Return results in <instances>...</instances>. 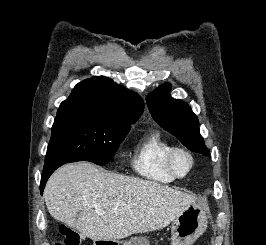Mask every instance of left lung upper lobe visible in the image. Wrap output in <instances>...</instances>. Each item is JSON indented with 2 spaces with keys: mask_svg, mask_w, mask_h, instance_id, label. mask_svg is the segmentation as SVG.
Listing matches in <instances>:
<instances>
[{
  "mask_svg": "<svg viewBox=\"0 0 266 245\" xmlns=\"http://www.w3.org/2000/svg\"><path fill=\"white\" fill-rule=\"evenodd\" d=\"M170 84H163L147 97V106L154 120L166 131L177 137L193 152L209 153L199 131L196 115L186 102L170 97Z\"/></svg>",
  "mask_w": 266,
  "mask_h": 245,
  "instance_id": "5c2ea615",
  "label": "left lung upper lobe"
}]
</instances>
